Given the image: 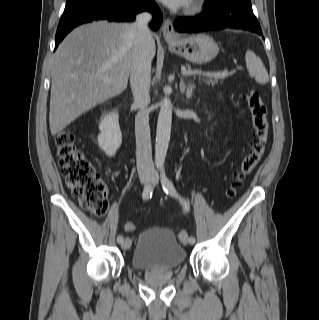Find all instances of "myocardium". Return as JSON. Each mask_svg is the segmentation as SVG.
Here are the masks:
<instances>
[{
	"mask_svg": "<svg viewBox=\"0 0 319 320\" xmlns=\"http://www.w3.org/2000/svg\"><path fill=\"white\" fill-rule=\"evenodd\" d=\"M202 6L201 0H194L187 8V12H196L198 11Z\"/></svg>",
	"mask_w": 319,
	"mask_h": 320,
	"instance_id": "f54148a6",
	"label": "myocardium"
}]
</instances>
